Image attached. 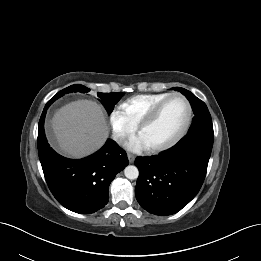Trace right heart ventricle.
Masks as SVG:
<instances>
[{"label":"right heart ventricle","mask_w":261,"mask_h":261,"mask_svg":"<svg viewBox=\"0 0 261 261\" xmlns=\"http://www.w3.org/2000/svg\"><path fill=\"white\" fill-rule=\"evenodd\" d=\"M169 93H150L133 96L121 104L128 120L136 127L149 111Z\"/></svg>","instance_id":"e07e8e85"}]
</instances>
